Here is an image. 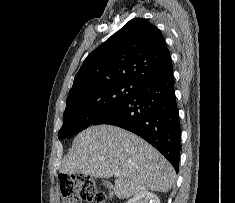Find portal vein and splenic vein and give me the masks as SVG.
<instances>
[{
  "mask_svg": "<svg viewBox=\"0 0 235 203\" xmlns=\"http://www.w3.org/2000/svg\"><path fill=\"white\" fill-rule=\"evenodd\" d=\"M114 175H115L116 177H118V176H120V172L117 171V172L114 173Z\"/></svg>",
  "mask_w": 235,
  "mask_h": 203,
  "instance_id": "1",
  "label": "portal vein and splenic vein"
}]
</instances>
